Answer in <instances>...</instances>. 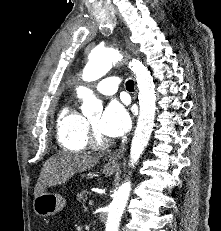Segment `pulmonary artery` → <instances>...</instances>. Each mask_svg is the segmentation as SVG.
<instances>
[{
    "instance_id": "obj_1",
    "label": "pulmonary artery",
    "mask_w": 221,
    "mask_h": 231,
    "mask_svg": "<svg viewBox=\"0 0 221 231\" xmlns=\"http://www.w3.org/2000/svg\"><path fill=\"white\" fill-rule=\"evenodd\" d=\"M120 81L116 77H108L96 85V90L102 95L110 96L117 92Z\"/></svg>"
}]
</instances>
